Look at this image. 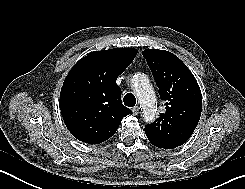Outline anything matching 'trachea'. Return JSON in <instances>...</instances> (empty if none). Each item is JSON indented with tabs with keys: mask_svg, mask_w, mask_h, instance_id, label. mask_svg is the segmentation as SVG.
I'll list each match as a JSON object with an SVG mask.
<instances>
[{
	"mask_svg": "<svg viewBox=\"0 0 245 189\" xmlns=\"http://www.w3.org/2000/svg\"><path fill=\"white\" fill-rule=\"evenodd\" d=\"M123 102L127 107H133L136 104V98L132 93H127L123 98Z\"/></svg>",
	"mask_w": 245,
	"mask_h": 189,
	"instance_id": "1",
	"label": "trachea"
}]
</instances>
